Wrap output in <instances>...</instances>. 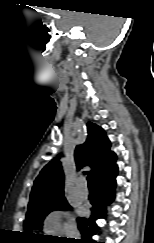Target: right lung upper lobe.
Masks as SVG:
<instances>
[{"instance_id": "1", "label": "right lung upper lobe", "mask_w": 154, "mask_h": 243, "mask_svg": "<svg viewBox=\"0 0 154 243\" xmlns=\"http://www.w3.org/2000/svg\"><path fill=\"white\" fill-rule=\"evenodd\" d=\"M87 140L75 149L78 169L91 167L93 181L110 173L116 165V154L105 131L98 125L87 123ZM64 198V173L61 162L53 159L47 163L34 181L28 208Z\"/></svg>"}]
</instances>
